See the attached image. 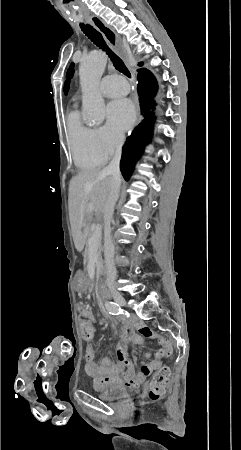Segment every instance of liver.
I'll list each match as a JSON object with an SVG mask.
<instances>
[{
	"mask_svg": "<svg viewBox=\"0 0 241 450\" xmlns=\"http://www.w3.org/2000/svg\"><path fill=\"white\" fill-rule=\"evenodd\" d=\"M113 176H106L103 170L78 172L70 182L69 212L72 236L76 250L81 252L86 242L87 222L92 212L101 214L104 224L108 222L106 206L110 198Z\"/></svg>",
	"mask_w": 241,
	"mask_h": 450,
	"instance_id": "obj_1",
	"label": "liver"
}]
</instances>
